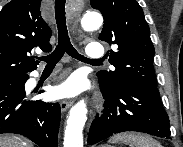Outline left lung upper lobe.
Wrapping results in <instances>:
<instances>
[{
    "mask_svg": "<svg viewBox=\"0 0 183 147\" xmlns=\"http://www.w3.org/2000/svg\"><path fill=\"white\" fill-rule=\"evenodd\" d=\"M104 17L99 39L115 44L109 62L114 71H99V85L112 90L125 81L157 86L153 68L154 47L150 29L136 0H91Z\"/></svg>",
    "mask_w": 183,
    "mask_h": 147,
    "instance_id": "left-lung-upper-lobe-1",
    "label": "left lung upper lobe"
}]
</instances>
